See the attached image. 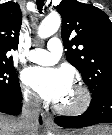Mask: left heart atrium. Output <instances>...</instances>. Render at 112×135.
<instances>
[{
    "instance_id": "obj_1",
    "label": "left heart atrium",
    "mask_w": 112,
    "mask_h": 135,
    "mask_svg": "<svg viewBox=\"0 0 112 135\" xmlns=\"http://www.w3.org/2000/svg\"><path fill=\"white\" fill-rule=\"evenodd\" d=\"M23 79L42 98L57 103L72 89V77L63 69L31 67L24 72Z\"/></svg>"
}]
</instances>
